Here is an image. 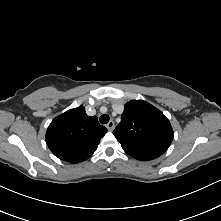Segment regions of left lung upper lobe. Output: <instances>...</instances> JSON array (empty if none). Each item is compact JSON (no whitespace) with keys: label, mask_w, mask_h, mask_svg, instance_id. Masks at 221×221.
<instances>
[{"label":"left lung upper lobe","mask_w":221,"mask_h":221,"mask_svg":"<svg viewBox=\"0 0 221 221\" xmlns=\"http://www.w3.org/2000/svg\"><path fill=\"white\" fill-rule=\"evenodd\" d=\"M113 134L123 150L138 160H153L161 156L173 140L167 117L143 100L125 104L121 122Z\"/></svg>","instance_id":"obj_1"}]
</instances>
